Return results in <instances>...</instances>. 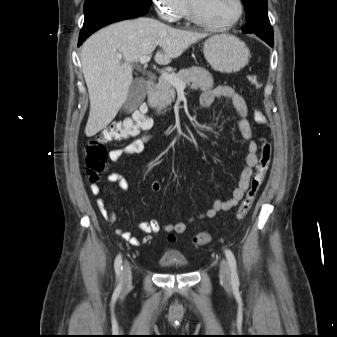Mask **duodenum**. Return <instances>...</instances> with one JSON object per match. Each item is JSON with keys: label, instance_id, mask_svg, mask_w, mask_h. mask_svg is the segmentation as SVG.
<instances>
[{"label": "duodenum", "instance_id": "obj_1", "mask_svg": "<svg viewBox=\"0 0 337 337\" xmlns=\"http://www.w3.org/2000/svg\"><path fill=\"white\" fill-rule=\"evenodd\" d=\"M146 84H147V89H148V91H151V90L154 88L155 84H156V77L153 76V75L148 76V77H147ZM138 113H139V111L136 112L135 115L138 114ZM135 115H134V116H135Z\"/></svg>", "mask_w": 337, "mask_h": 337}]
</instances>
